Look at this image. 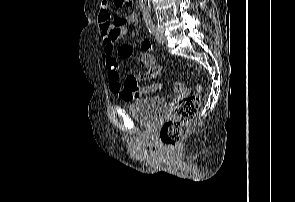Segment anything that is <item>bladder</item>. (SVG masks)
Instances as JSON below:
<instances>
[{"mask_svg": "<svg viewBox=\"0 0 295 202\" xmlns=\"http://www.w3.org/2000/svg\"><path fill=\"white\" fill-rule=\"evenodd\" d=\"M167 107L163 97L154 95L137 100L130 108V113L141 124L152 126L165 117Z\"/></svg>", "mask_w": 295, "mask_h": 202, "instance_id": "bladder-1", "label": "bladder"}]
</instances>
